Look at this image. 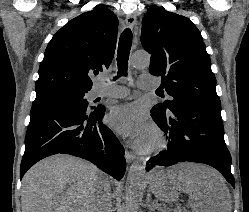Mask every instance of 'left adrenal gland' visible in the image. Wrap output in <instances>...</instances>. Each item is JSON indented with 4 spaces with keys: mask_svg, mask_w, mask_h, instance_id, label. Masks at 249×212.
I'll use <instances>...</instances> for the list:
<instances>
[{
    "mask_svg": "<svg viewBox=\"0 0 249 212\" xmlns=\"http://www.w3.org/2000/svg\"><path fill=\"white\" fill-rule=\"evenodd\" d=\"M146 208L150 210V212H155L156 208L154 206V202H151V196L148 194L147 202H146Z\"/></svg>",
    "mask_w": 249,
    "mask_h": 212,
    "instance_id": "obj_1",
    "label": "left adrenal gland"
}]
</instances>
